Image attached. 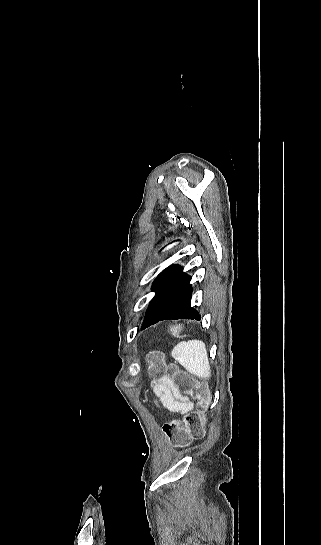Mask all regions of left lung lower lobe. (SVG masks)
Segmentation results:
<instances>
[{"label": "left lung lower lobe", "instance_id": "0a47b994", "mask_svg": "<svg viewBox=\"0 0 321 545\" xmlns=\"http://www.w3.org/2000/svg\"><path fill=\"white\" fill-rule=\"evenodd\" d=\"M191 277L178 266L166 268L154 281L156 292L146 312L142 329L166 319H196L199 313L191 307Z\"/></svg>", "mask_w": 321, "mask_h": 545}]
</instances>
